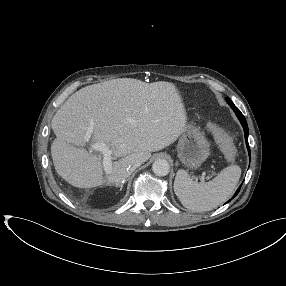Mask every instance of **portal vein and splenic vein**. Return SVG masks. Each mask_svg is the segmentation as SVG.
Masks as SVG:
<instances>
[{
	"instance_id": "obj_1",
	"label": "portal vein and splenic vein",
	"mask_w": 286,
	"mask_h": 286,
	"mask_svg": "<svg viewBox=\"0 0 286 286\" xmlns=\"http://www.w3.org/2000/svg\"><path fill=\"white\" fill-rule=\"evenodd\" d=\"M92 127L87 132V138H90ZM90 150L100 152L103 155V167L106 173L112 170V150L104 142L90 144Z\"/></svg>"
}]
</instances>
